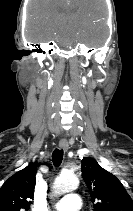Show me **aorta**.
I'll list each match as a JSON object with an SVG mask.
<instances>
[{
	"label": "aorta",
	"instance_id": "obj_1",
	"mask_svg": "<svg viewBox=\"0 0 133 211\" xmlns=\"http://www.w3.org/2000/svg\"><path fill=\"white\" fill-rule=\"evenodd\" d=\"M79 186V180L73 175H62L55 179L52 190L53 194L61 195L74 191Z\"/></svg>",
	"mask_w": 133,
	"mask_h": 211
}]
</instances>
